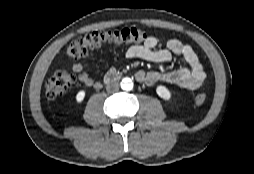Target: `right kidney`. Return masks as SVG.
Instances as JSON below:
<instances>
[{"label":"right kidney","instance_id":"1","mask_svg":"<svg viewBox=\"0 0 254 174\" xmlns=\"http://www.w3.org/2000/svg\"><path fill=\"white\" fill-rule=\"evenodd\" d=\"M84 97H85V91H84V90H81V91H79V92L77 93V95H76V101H77L78 103H81V102L83 101Z\"/></svg>","mask_w":254,"mask_h":174}]
</instances>
